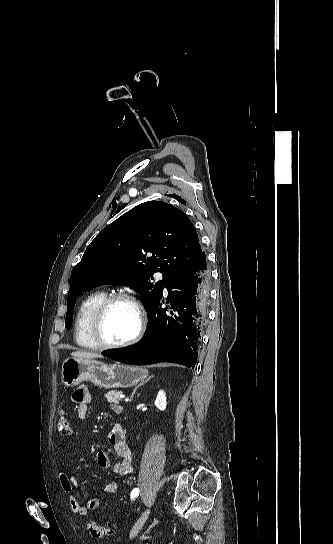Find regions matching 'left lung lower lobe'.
I'll return each mask as SVG.
<instances>
[{"instance_id":"0a47b994","label":"left lung lower lobe","mask_w":333,"mask_h":544,"mask_svg":"<svg viewBox=\"0 0 333 544\" xmlns=\"http://www.w3.org/2000/svg\"><path fill=\"white\" fill-rule=\"evenodd\" d=\"M166 308L162 297L149 309V327L133 346L106 350L102 355L134 365L172 362L194 368L210 289V271L203 251L167 286Z\"/></svg>"}]
</instances>
